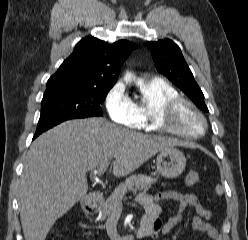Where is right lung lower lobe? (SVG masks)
Listing matches in <instances>:
<instances>
[{"instance_id":"right-lung-lower-lobe-1","label":"right lung lower lobe","mask_w":248,"mask_h":240,"mask_svg":"<svg viewBox=\"0 0 248 240\" xmlns=\"http://www.w3.org/2000/svg\"><path fill=\"white\" fill-rule=\"evenodd\" d=\"M61 122L63 121L38 122L37 130L35 132L33 139H35L37 136H39L44 131L56 126L57 124H60Z\"/></svg>"}]
</instances>
